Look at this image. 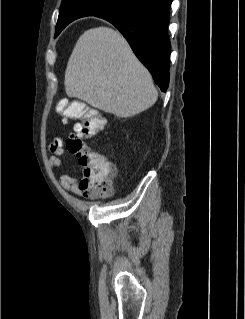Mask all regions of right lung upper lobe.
I'll list each match as a JSON object with an SVG mask.
<instances>
[{
    "label": "right lung upper lobe",
    "instance_id": "1",
    "mask_svg": "<svg viewBox=\"0 0 245 319\" xmlns=\"http://www.w3.org/2000/svg\"><path fill=\"white\" fill-rule=\"evenodd\" d=\"M80 1L84 0H62L63 9L59 12L56 29H63L73 20L90 15L88 11L79 5Z\"/></svg>",
    "mask_w": 245,
    "mask_h": 319
}]
</instances>
